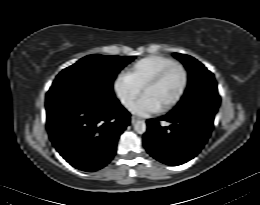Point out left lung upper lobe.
<instances>
[{"label":"left lung upper lobe","instance_id":"obj_1","mask_svg":"<svg viewBox=\"0 0 260 205\" xmlns=\"http://www.w3.org/2000/svg\"><path fill=\"white\" fill-rule=\"evenodd\" d=\"M174 56L187 68L189 81L184 96L171 112L197 111L214 117L220 104L214 75L189 55L174 53Z\"/></svg>","mask_w":260,"mask_h":205}]
</instances>
